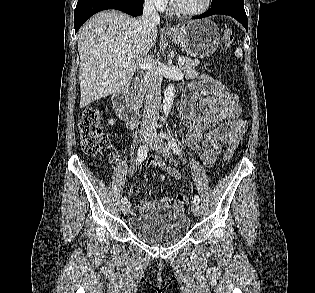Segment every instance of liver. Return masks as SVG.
<instances>
[{"label":"liver","instance_id":"1","mask_svg":"<svg viewBox=\"0 0 315 293\" xmlns=\"http://www.w3.org/2000/svg\"><path fill=\"white\" fill-rule=\"evenodd\" d=\"M156 39L157 29L146 49L141 18L118 11L94 15L78 34L80 108L128 86Z\"/></svg>","mask_w":315,"mask_h":293}]
</instances>
